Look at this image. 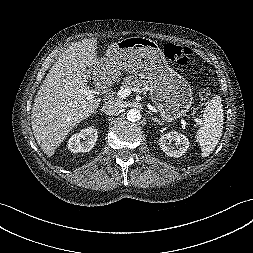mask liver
<instances>
[{"instance_id": "obj_1", "label": "liver", "mask_w": 253, "mask_h": 253, "mask_svg": "<svg viewBox=\"0 0 253 253\" xmlns=\"http://www.w3.org/2000/svg\"><path fill=\"white\" fill-rule=\"evenodd\" d=\"M102 61L96 39L76 42L57 59L40 86L32 108V130L49 157L68 133L98 108L101 99H87L80 90L87 89L89 74L102 77L97 71Z\"/></svg>"}]
</instances>
